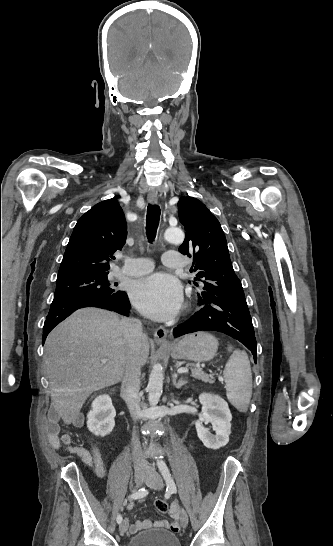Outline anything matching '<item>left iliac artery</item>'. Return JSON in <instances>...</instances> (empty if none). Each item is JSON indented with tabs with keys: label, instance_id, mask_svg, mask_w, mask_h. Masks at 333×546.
<instances>
[{
	"label": "left iliac artery",
	"instance_id": "1",
	"mask_svg": "<svg viewBox=\"0 0 333 546\" xmlns=\"http://www.w3.org/2000/svg\"><path fill=\"white\" fill-rule=\"evenodd\" d=\"M157 465H158L159 471L161 472L162 476L164 477L166 481L167 490H169L172 493H176L177 488L173 478L171 477V474L169 472V469L166 463L163 460H158Z\"/></svg>",
	"mask_w": 333,
	"mask_h": 546
}]
</instances>
